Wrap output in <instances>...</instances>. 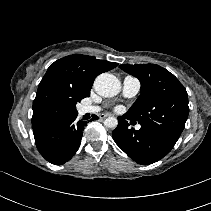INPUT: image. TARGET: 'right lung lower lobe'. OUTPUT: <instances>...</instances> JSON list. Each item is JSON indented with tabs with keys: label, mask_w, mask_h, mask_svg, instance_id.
I'll return each instance as SVG.
<instances>
[{
	"label": "right lung lower lobe",
	"mask_w": 211,
	"mask_h": 211,
	"mask_svg": "<svg viewBox=\"0 0 211 211\" xmlns=\"http://www.w3.org/2000/svg\"><path fill=\"white\" fill-rule=\"evenodd\" d=\"M78 113L33 129L40 154L50 163L61 165L69 161L78 150L85 121L77 120ZM93 119H98L94 115Z\"/></svg>",
	"instance_id": "right-lung-lower-lobe-1"
}]
</instances>
